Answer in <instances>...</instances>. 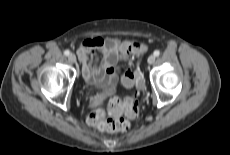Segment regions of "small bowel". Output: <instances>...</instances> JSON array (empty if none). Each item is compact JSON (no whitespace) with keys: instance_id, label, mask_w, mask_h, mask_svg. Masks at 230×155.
<instances>
[{"instance_id":"small-bowel-1","label":"small bowel","mask_w":230,"mask_h":155,"mask_svg":"<svg viewBox=\"0 0 230 155\" xmlns=\"http://www.w3.org/2000/svg\"><path fill=\"white\" fill-rule=\"evenodd\" d=\"M129 44L130 42H120L112 37L86 39L77 50L84 79L90 85L99 86L107 91H113L119 79L125 87H131L132 81L126 76L127 68L119 65L121 61H128L125 48ZM96 52L101 54L98 64L93 62Z\"/></svg>"}]
</instances>
